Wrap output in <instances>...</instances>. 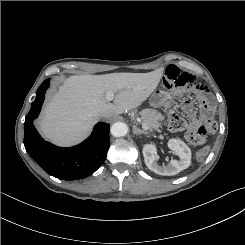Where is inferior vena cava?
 <instances>
[{
	"label": "inferior vena cava",
	"mask_w": 245,
	"mask_h": 245,
	"mask_svg": "<svg viewBox=\"0 0 245 245\" xmlns=\"http://www.w3.org/2000/svg\"><path fill=\"white\" fill-rule=\"evenodd\" d=\"M107 115L106 114H102L101 117H106Z\"/></svg>",
	"instance_id": "inferior-vena-cava-1"
}]
</instances>
